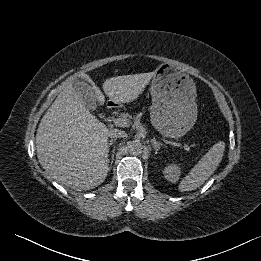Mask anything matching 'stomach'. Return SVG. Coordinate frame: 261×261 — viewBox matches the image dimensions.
<instances>
[{
	"label": "stomach",
	"instance_id": "obj_1",
	"mask_svg": "<svg viewBox=\"0 0 261 261\" xmlns=\"http://www.w3.org/2000/svg\"><path fill=\"white\" fill-rule=\"evenodd\" d=\"M150 92L152 125L163 136L180 138L197 118L196 86L187 74L168 65H160L152 77Z\"/></svg>",
	"mask_w": 261,
	"mask_h": 261
}]
</instances>
